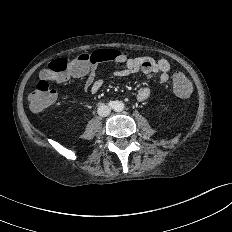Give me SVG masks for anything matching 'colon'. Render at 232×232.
<instances>
[{"instance_id": "5ec220e1", "label": "colon", "mask_w": 232, "mask_h": 232, "mask_svg": "<svg viewBox=\"0 0 232 232\" xmlns=\"http://www.w3.org/2000/svg\"><path fill=\"white\" fill-rule=\"evenodd\" d=\"M124 54H126L124 52ZM115 53L111 49H99L91 53H81L70 59L58 58L49 63L41 72L40 80L29 96L30 107L35 112H41L51 106L56 100V92L51 89L49 82H58L69 72L82 73L90 66L110 61ZM173 88L180 97H188L191 84L185 75L177 72L173 77Z\"/></svg>"}]
</instances>
